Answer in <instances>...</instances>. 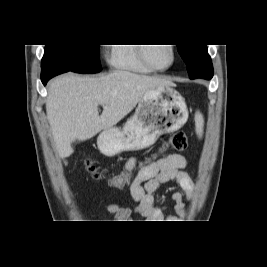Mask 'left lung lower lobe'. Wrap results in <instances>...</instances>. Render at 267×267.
Returning <instances> with one entry per match:
<instances>
[{"label": "left lung lower lobe", "mask_w": 267, "mask_h": 267, "mask_svg": "<svg viewBox=\"0 0 267 267\" xmlns=\"http://www.w3.org/2000/svg\"><path fill=\"white\" fill-rule=\"evenodd\" d=\"M213 77V73H205L201 75L199 78L210 80Z\"/></svg>", "instance_id": "obj_1"}]
</instances>
